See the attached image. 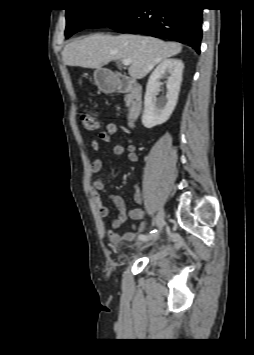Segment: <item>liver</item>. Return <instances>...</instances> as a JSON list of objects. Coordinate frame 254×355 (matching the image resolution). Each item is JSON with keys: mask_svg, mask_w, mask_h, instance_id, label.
Instances as JSON below:
<instances>
[{"mask_svg": "<svg viewBox=\"0 0 254 355\" xmlns=\"http://www.w3.org/2000/svg\"><path fill=\"white\" fill-rule=\"evenodd\" d=\"M182 45L140 35L93 34L66 45L62 59L67 66L101 69L113 60L130 59L128 73L144 78L158 63L178 54Z\"/></svg>", "mask_w": 254, "mask_h": 355, "instance_id": "obj_1", "label": "liver"}]
</instances>
